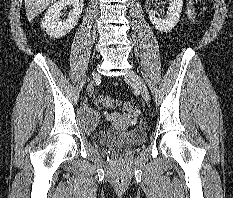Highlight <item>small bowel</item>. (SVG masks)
<instances>
[{"label":"small bowel","mask_w":233,"mask_h":198,"mask_svg":"<svg viewBox=\"0 0 233 198\" xmlns=\"http://www.w3.org/2000/svg\"><path fill=\"white\" fill-rule=\"evenodd\" d=\"M187 18L188 20L192 21L194 18V11L191 6V2H189L188 9H187Z\"/></svg>","instance_id":"c3829d8e"}]
</instances>
